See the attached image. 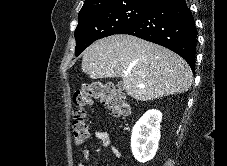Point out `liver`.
Returning a JSON list of instances; mask_svg holds the SVG:
<instances>
[{"label":"liver","mask_w":227,"mask_h":166,"mask_svg":"<svg viewBox=\"0 0 227 166\" xmlns=\"http://www.w3.org/2000/svg\"><path fill=\"white\" fill-rule=\"evenodd\" d=\"M82 70L93 79L122 78L126 93L138 101L187 92L193 81L190 66L178 54L121 34L91 44L84 51Z\"/></svg>","instance_id":"1"}]
</instances>
